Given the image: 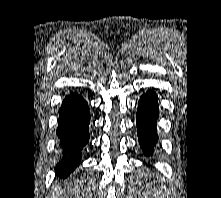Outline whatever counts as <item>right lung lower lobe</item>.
Masks as SVG:
<instances>
[{"instance_id": "obj_1", "label": "right lung lower lobe", "mask_w": 221, "mask_h": 198, "mask_svg": "<svg viewBox=\"0 0 221 198\" xmlns=\"http://www.w3.org/2000/svg\"><path fill=\"white\" fill-rule=\"evenodd\" d=\"M90 113L82 96L72 93L59 109L57 136L65 157L56 166L57 176L66 178L79 165L81 150L89 140Z\"/></svg>"}]
</instances>
